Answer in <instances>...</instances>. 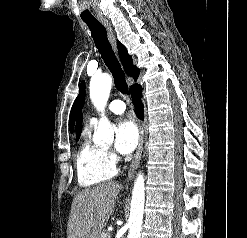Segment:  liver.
I'll use <instances>...</instances> for the list:
<instances>
[{"label":"liver","instance_id":"6515ba94","mask_svg":"<svg viewBox=\"0 0 247 238\" xmlns=\"http://www.w3.org/2000/svg\"><path fill=\"white\" fill-rule=\"evenodd\" d=\"M120 191L116 182L86 188L73 199L68 221V238H99L113 213Z\"/></svg>","mask_w":247,"mask_h":238}]
</instances>
